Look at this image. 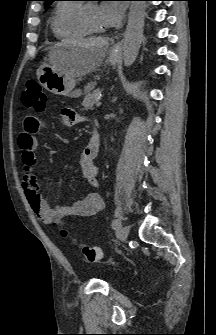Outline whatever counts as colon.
I'll return each instance as SVG.
<instances>
[{
  "label": "colon",
  "mask_w": 216,
  "mask_h": 335,
  "mask_svg": "<svg viewBox=\"0 0 216 335\" xmlns=\"http://www.w3.org/2000/svg\"><path fill=\"white\" fill-rule=\"evenodd\" d=\"M22 102L26 108L33 109L36 112H42L47 107L48 100L39 83L30 79L25 82ZM61 234L65 237L67 236V231L62 229ZM73 243L78 247L88 262L95 263L101 259L102 251L99 247L78 243L76 240H73Z\"/></svg>",
  "instance_id": "5ec220e1"
}]
</instances>
